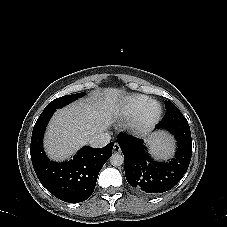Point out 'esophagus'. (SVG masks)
Returning a JSON list of instances; mask_svg holds the SVG:
<instances>
[{"label":"esophagus","instance_id":"esophagus-1","mask_svg":"<svg viewBox=\"0 0 227 227\" xmlns=\"http://www.w3.org/2000/svg\"><path fill=\"white\" fill-rule=\"evenodd\" d=\"M113 151H114L115 153H120V152H121V148H120V146H119L118 143H115V144H114Z\"/></svg>","mask_w":227,"mask_h":227}]
</instances>
